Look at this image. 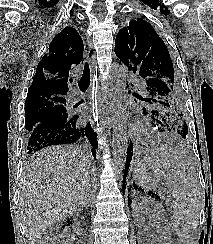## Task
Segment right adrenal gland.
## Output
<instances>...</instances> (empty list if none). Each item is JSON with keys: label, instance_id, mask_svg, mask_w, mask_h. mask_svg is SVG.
Instances as JSON below:
<instances>
[{"label": "right adrenal gland", "instance_id": "1", "mask_svg": "<svg viewBox=\"0 0 213 244\" xmlns=\"http://www.w3.org/2000/svg\"><path fill=\"white\" fill-rule=\"evenodd\" d=\"M83 206H85L87 208V205L85 203H83Z\"/></svg>", "mask_w": 213, "mask_h": 244}]
</instances>
